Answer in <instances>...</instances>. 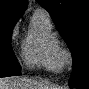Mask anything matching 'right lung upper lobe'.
Masks as SVG:
<instances>
[{"label":"right lung upper lobe","instance_id":"obj_1","mask_svg":"<svg viewBox=\"0 0 89 89\" xmlns=\"http://www.w3.org/2000/svg\"><path fill=\"white\" fill-rule=\"evenodd\" d=\"M27 8V0H0V16L19 20Z\"/></svg>","mask_w":89,"mask_h":89}]
</instances>
